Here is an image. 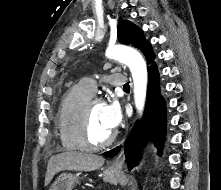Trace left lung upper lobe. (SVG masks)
I'll use <instances>...</instances> for the list:
<instances>
[{"mask_svg":"<svg viewBox=\"0 0 221 190\" xmlns=\"http://www.w3.org/2000/svg\"><path fill=\"white\" fill-rule=\"evenodd\" d=\"M117 37L121 44L132 45L144 54L147 64H152L155 54L151 44L143 36V31L129 21L123 20L118 24Z\"/></svg>","mask_w":221,"mask_h":190,"instance_id":"5c2ea615","label":"left lung upper lobe"}]
</instances>
